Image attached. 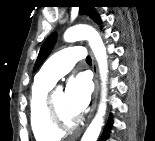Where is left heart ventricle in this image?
<instances>
[{"mask_svg":"<svg viewBox=\"0 0 155 141\" xmlns=\"http://www.w3.org/2000/svg\"><path fill=\"white\" fill-rule=\"evenodd\" d=\"M53 101L57 111L65 121H70L75 118V115L72 114L67 108L63 92L56 91L53 95Z\"/></svg>","mask_w":155,"mask_h":141,"instance_id":"left-heart-ventricle-1","label":"left heart ventricle"}]
</instances>
